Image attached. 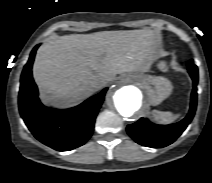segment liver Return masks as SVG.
<instances>
[{"label": "liver", "mask_w": 212, "mask_h": 183, "mask_svg": "<svg viewBox=\"0 0 212 183\" xmlns=\"http://www.w3.org/2000/svg\"><path fill=\"white\" fill-rule=\"evenodd\" d=\"M151 30L103 31L51 39L37 51L33 77L44 102L77 103L91 96L98 79L148 72L159 57Z\"/></svg>", "instance_id": "liver-1"}]
</instances>
